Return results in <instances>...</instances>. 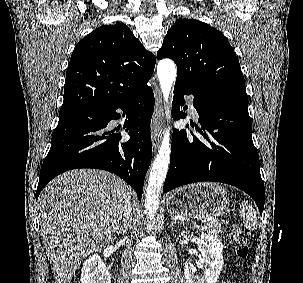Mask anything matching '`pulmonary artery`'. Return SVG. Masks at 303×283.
Segmentation results:
<instances>
[{
    "mask_svg": "<svg viewBox=\"0 0 303 283\" xmlns=\"http://www.w3.org/2000/svg\"><path fill=\"white\" fill-rule=\"evenodd\" d=\"M186 99H187V102H188V105H189V108H190V111H191L193 117L196 118V119H198V113L196 111V108L194 107L192 98L191 97H187Z\"/></svg>",
    "mask_w": 303,
    "mask_h": 283,
    "instance_id": "obj_1",
    "label": "pulmonary artery"
}]
</instances>
